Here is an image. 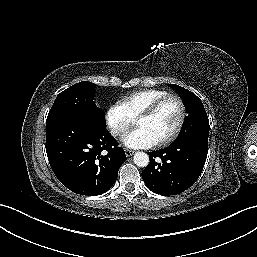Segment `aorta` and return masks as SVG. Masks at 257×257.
<instances>
[{
  "label": "aorta",
  "instance_id": "aorta-1",
  "mask_svg": "<svg viewBox=\"0 0 257 257\" xmlns=\"http://www.w3.org/2000/svg\"><path fill=\"white\" fill-rule=\"evenodd\" d=\"M133 160L139 167H146L149 164V156L144 152L135 153Z\"/></svg>",
  "mask_w": 257,
  "mask_h": 257
}]
</instances>
